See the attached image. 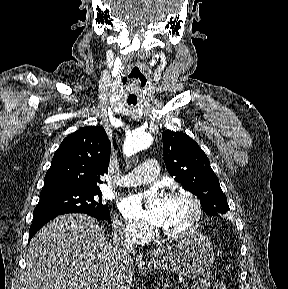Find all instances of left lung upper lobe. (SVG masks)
<instances>
[{"instance_id":"1","label":"left lung upper lobe","mask_w":288,"mask_h":289,"mask_svg":"<svg viewBox=\"0 0 288 289\" xmlns=\"http://www.w3.org/2000/svg\"><path fill=\"white\" fill-rule=\"evenodd\" d=\"M162 138L169 174L200 199L207 215L226 213L229 210L227 198L205 152L183 132L166 130Z\"/></svg>"}]
</instances>
